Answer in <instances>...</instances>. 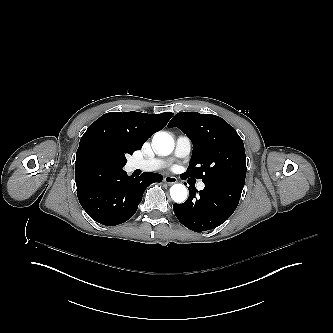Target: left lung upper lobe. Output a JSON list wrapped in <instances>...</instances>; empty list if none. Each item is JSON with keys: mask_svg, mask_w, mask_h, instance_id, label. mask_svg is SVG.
I'll return each instance as SVG.
<instances>
[{"mask_svg": "<svg viewBox=\"0 0 333 333\" xmlns=\"http://www.w3.org/2000/svg\"><path fill=\"white\" fill-rule=\"evenodd\" d=\"M168 127H177L192 141L194 149L184 176L204 183H245L246 155L236 130L223 118L197 112L176 114Z\"/></svg>", "mask_w": 333, "mask_h": 333, "instance_id": "obj_1", "label": "left lung upper lobe"}]
</instances>
